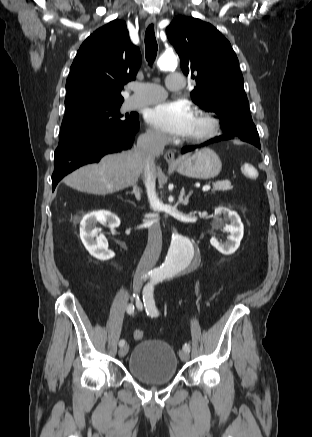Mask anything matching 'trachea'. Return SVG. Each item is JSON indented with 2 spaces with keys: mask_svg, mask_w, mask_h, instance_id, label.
Instances as JSON below:
<instances>
[{
  "mask_svg": "<svg viewBox=\"0 0 312 437\" xmlns=\"http://www.w3.org/2000/svg\"><path fill=\"white\" fill-rule=\"evenodd\" d=\"M157 41L155 38L154 27L153 24L149 25L145 32V52H146V60L149 65H152L155 61L157 55Z\"/></svg>",
  "mask_w": 312,
  "mask_h": 437,
  "instance_id": "3493384b",
  "label": "trachea"
}]
</instances>
